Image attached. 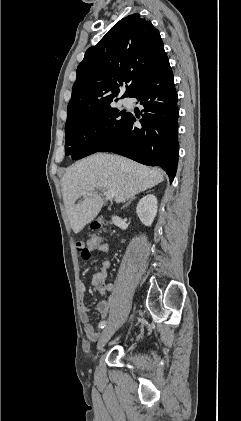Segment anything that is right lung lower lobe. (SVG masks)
<instances>
[{
	"mask_svg": "<svg viewBox=\"0 0 241 421\" xmlns=\"http://www.w3.org/2000/svg\"><path fill=\"white\" fill-rule=\"evenodd\" d=\"M130 97L144 107L141 127L134 126L136 118L130 114L121 133L99 152H114L145 165L160 166L172 182L178 164L179 108L167 56Z\"/></svg>",
	"mask_w": 241,
	"mask_h": 421,
	"instance_id": "right-lung-lower-lobe-1",
	"label": "right lung lower lobe"
}]
</instances>
